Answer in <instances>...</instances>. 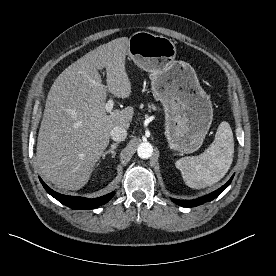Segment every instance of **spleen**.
Wrapping results in <instances>:
<instances>
[{"mask_svg": "<svg viewBox=\"0 0 276 276\" xmlns=\"http://www.w3.org/2000/svg\"><path fill=\"white\" fill-rule=\"evenodd\" d=\"M234 154V138L228 122H221L211 145L199 156L176 161L185 183L194 189L211 186L228 172Z\"/></svg>", "mask_w": 276, "mask_h": 276, "instance_id": "obj_1", "label": "spleen"}]
</instances>
